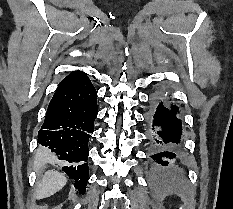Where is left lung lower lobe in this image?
Returning a JSON list of instances; mask_svg holds the SVG:
<instances>
[{
	"label": "left lung lower lobe",
	"instance_id": "left-lung-lower-lobe-1",
	"mask_svg": "<svg viewBox=\"0 0 233 209\" xmlns=\"http://www.w3.org/2000/svg\"><path fill=\"white\" fill-rule=\"evenodd\" d=\"M175 105L167 107L160 102L153 114L152 130L155 147L151 156L158 169H171L179 156L182 123Z\"/></svg>",
	"mask_w": 233,
	"mask_h": 209
}]
</instances>
